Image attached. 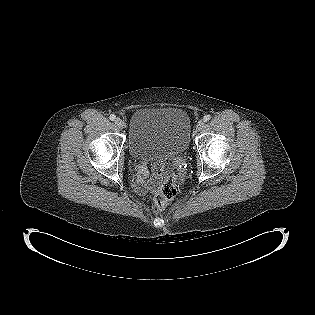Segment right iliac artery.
<instances>
[{
  "instance_id": "82829eb1",
  "label": "right iliac artery",
  "mask_w": 315,
  "mask_h": 315,
  "mask_svg": "<svg viewBox=\"0 0 315 315\" xmlns=\"http://www.w3.org/2000/svg\"><path fill=\"white\" fill-rule=\"evenodd\" d=\"M109 118H110L111 121H114L116 116L114 114H111Z\"/></svg>"
}]
</instances>
